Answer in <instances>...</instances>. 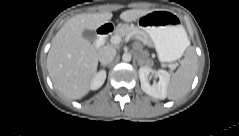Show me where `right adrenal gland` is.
Instances as JSON below:
<instances>
[{
    "label": "right adrenal gland",
    "instance_id": "1",
    "mask_svg": "<svg viewBox=\"0 0 239 136\" xmlns=\"http://www.w3.org/2000/svg\"><path fill=\"white\" fill-rule=\"evenodd\" d=\"M101 66L106 67L107 65H102V64H101Z\"/></svg>",
    "mask_w": 239,
    "mask_h": 136
}]
</instances>
